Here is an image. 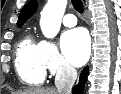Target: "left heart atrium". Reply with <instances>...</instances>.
<instances>
[{
	"label": "left heart atrium",
	"mask_w": 121,
	"mask_h": 94,
	"mask_svg": "<svg viewBox=\"0 0 121 94\" xmlns=\"http://www.w3.org/2000/svg\"><path fill=\"white\" fill-rule=\"evenodd\" d=\"M61 47L65 59L73 66H82L88 59L90 41L82 28L66 31L61 37Z\"/></svg>",
	"instance_id": "1"
}]
</instances>
